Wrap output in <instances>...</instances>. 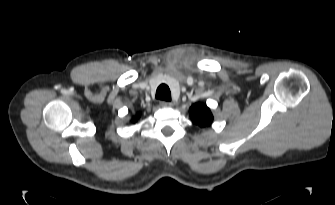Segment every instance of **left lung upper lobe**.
<instances>
[{
    "instance_id": "left-lung-upper-lobe-1",
    "label": "left lung upper lobe",
    "mask_w": 335,
    "mask_h": 205,
    "mask_svg": "<svg viewBox=\"0 0 335 205\" xmlns=\"http://www.w3.org/2000/svg\"><path fill=\"white\" fill-rule=\"evenodd\" d=\"M192 121L200 127L209 126L213 121L210 109L201 103L194 104L189 110Z\"/></svg>"
}]
</instances>
